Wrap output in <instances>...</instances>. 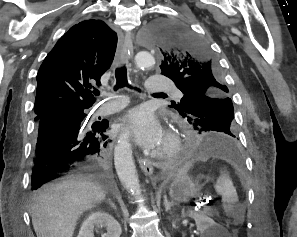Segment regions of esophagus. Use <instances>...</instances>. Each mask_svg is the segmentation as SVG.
<instances>
[{
    "instance_id": "obj_1",
    "label": "esophagus",
    "mask_w": 297,
    "mask_h": 237,
    "mask_svg": "<svg viewBox=\"0 0 297 237\" xmlns=\"http://www.w3.org/2000/svg\"><path fill=\"white\" fill-rule=\"evenodd\" d=\"M133 51H134V48L132 44V38H131V35L128 34L125 38V41L121 50V56H120L121 63H128L130 58H132L133 56ZM140 167L146 175H151L153 173V166L151 162L147 159L140 160Z\"/></svg>"
}]
</instances>
